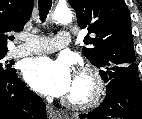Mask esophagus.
Returning a JSON list of instances; mask_svg holds the SVG:
<instances>
[{
  "label": "esophagus",
  "instance_id": "1",
  "mask_svg": "<svg viewBox=\"0 0 142 119\" xmlns=\"http://www.w3.org/2000/svg\"><path fill=\"white\" fill-rule=\"evenodd\" d=\"M47 112L50 119H59V113L52 106H47Z\"/></svg>",
  "mask_w": 142,
  "mask_h": 119
}]
</instances>
